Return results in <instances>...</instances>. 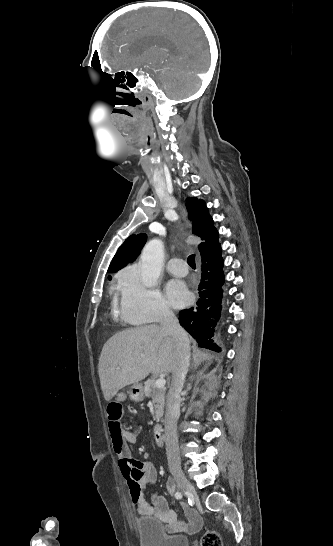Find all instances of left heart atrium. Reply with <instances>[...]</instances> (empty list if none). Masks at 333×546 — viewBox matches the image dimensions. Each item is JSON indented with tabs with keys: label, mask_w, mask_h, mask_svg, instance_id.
Here are the masks:
<instances>
[{
	"label": "left heart atrium",
	"mask_w": 333,
	"mask_h": 546,
	"mask_svg": "<svg viewBox=\"0 0 333 546\" xmlns=\"http://www.w3.org/2000/svg\"><path fill=\"white\" fill-rule=\"evenodd\" d=\"M166 291L170 303L175 307H182L189 300V292L184 283L179 280L170 281Z\"/></svg>",
	"instance_id": "39dd6f15"
}]
</instances>
